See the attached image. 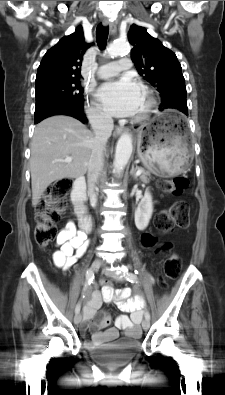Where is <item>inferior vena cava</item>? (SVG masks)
Here are the masks:
<instances>
[{"label": "inferior vena cava", "instance_id": "obj_1", "mask_svg": "<svg viewBox=\"0 0 225 395\" xmlns=\"http://www.w3.org/2000/svg\"><path fill=\"white\" fill-rule=\"evenodd\" d=\"M91 126L94 131V139L92 145L91 156L88 162V194L95 203L96 196L94 193L95 184L103 168L104 149L108 138L111 136L114 124L111 116L100 112H94L91 117Z\"/></svg>", "mask_w": 225, "mask_h": 395}]
</instances>
